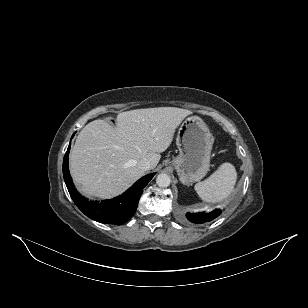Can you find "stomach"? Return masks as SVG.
Segmentation results:
<instances>
[{
  "label": "stomach",
  "mask_w": 308,
  "mask_h": 308,
  "mask_svg": "<svg viewBox=\"0 0 308 308\" xmlns=\"http://www.w3.org/2000/svg\"><path fill=\"white\" fill-rule=\"evenodd\" d=\"M176 145L179 155L170 164L185 185L201 180L209 171L213 145L212 134L198 116L186 118L178 129Z\"/></svg>",
  "instance_id": "0dacf381"
}]
</instances>
